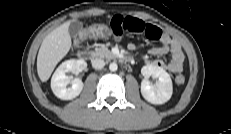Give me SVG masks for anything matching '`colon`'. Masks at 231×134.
I'll list each match as a JSON object with an SVG mask.
<instances>
[{
	"mask_svg": "<svg viewBox=\"0 0 231 134\" xmlns=\"http://www.w3.org/2000/svg\"><path fill=\"white\" fill-rule=\"evenodd\" d=\"M113 34L114 32L108 25L94 24L84 29L79 39L81 40L84 38H106L113 36ZM175 82L177 85H182L185 82V77L183 75H178L175 78Z\"/></svg>",
	"mask_w": 231,
	"mask_h": 134,
	"instance_id": "colon-1",
	"label": "colon"
}]
</instances>
